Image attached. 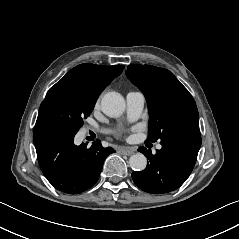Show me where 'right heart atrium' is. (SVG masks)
I'll use <instances>...</instances> for the list:
<instances>
[{
  "label": "right heart atrium",
  "instance_id": "obj_1",
  "mask_svg": "<svg viewBox=\"0 0 239 239\" xmlns=\"http://www.w3.org/2000/svg\"><path fill=\"white\" fill-rule=\"evenodd\" d=\"M100 99H101V96L98 98V100H97L96 104H98V103H99Z\"/></svg>",
  "mask_w": 239,
  "mask_h": 239
}]
</instances>
